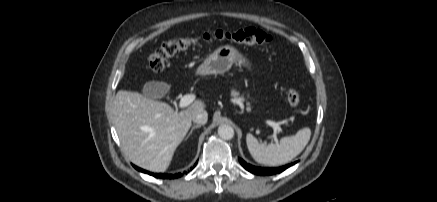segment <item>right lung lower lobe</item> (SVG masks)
Returning a JSON list of instances; mask_svg holds the SVG:
<instances>
[{"mask_svg": "<svg viewBox=\"0 0 437 202\" xmlns=\"http://www.w3.org/2000/svg\"><path fill=\"white\" fill-rule=\"evenodd\" d=\"M134 168H136L138 171H141L143 173H147V174L152 175V176H154L156 178H170L171 179V178H176V177H180L181 176L180 173L179 174H175V175H172V174H154V173L148 172V171L143 170V169H141L139 167H136V166H134ZM191 170H192V168H191Z\"/></svg>", "mask_w": 437, "mask_h": 202, "instance_id": "obj_1", "label": "right lung lower lobe"}]
</instances>
